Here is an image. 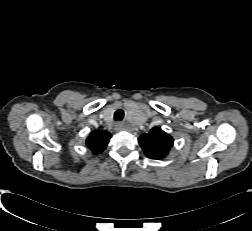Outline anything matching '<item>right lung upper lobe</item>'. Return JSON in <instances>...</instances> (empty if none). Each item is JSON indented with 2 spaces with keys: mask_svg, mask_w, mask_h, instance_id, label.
I'll return each instance as SVG.
<instances>
[{
  "mask_svg": "<svg viewBox=\"0 0 252 231\" xmlns=\"http://www.w3.org/2000/svg\"><path fill=\"white\" fill-rule=\"evenodd\" d=\"M110 138L111 134L107 131H93L88 136L86 145L94 153H100L106 148Z\"/></svg>",
  "mask_w": 252,
  "mask_h": 231,
  "instance_id": "obj_1",
  "label": "right lung upper lobe"
}]
</instances>
